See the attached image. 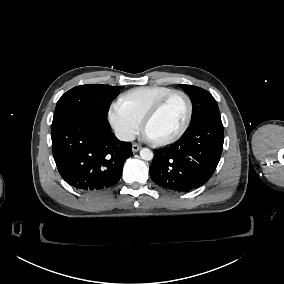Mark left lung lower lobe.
Returning a JSON list of instances; mask_svg holds the SVG:
<instances>
[{"label":"left lung lower lobe","instance_id":"0a47b994","mask_svg":"<svg viewBox=\"0 0 284 284\" xmlns=\"http://www.w3.org/2000/svg\"><path fill=\"white\" fill-rule=\"evenodd\" d=\"M224 130L220 116L193 122L173 145L156 149L149 168L159 186L188 192L205 184L221 157Z\"/></svg>","mask_w":284,"mask_h":284}]
</instances>
